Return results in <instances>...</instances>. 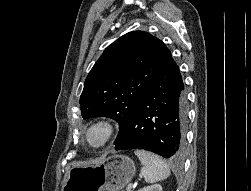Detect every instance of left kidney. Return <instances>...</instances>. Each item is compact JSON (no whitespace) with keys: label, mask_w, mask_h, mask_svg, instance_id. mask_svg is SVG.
<instances>
[{"label":"left kidney","mask_w":251,"mask_h":191,"mask_svg":"<svg viewBox=\"0 0 251 191\" xmlns=\"http://www.w3.org/2000/svg\"><path fill=\"white\" fill-rule=\"evenodd\" d=\"M138 191H162V185L160 183H153V185H147V187H142Z\"/></svg>","instance_id":"left-kidney-1"}]
</instances>
